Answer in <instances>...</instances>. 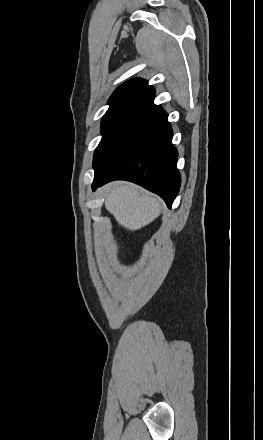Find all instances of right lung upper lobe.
<instances>
[{
  "label": "right lung upper lobe",
  "instance_id": "cb5924a9",
  "mask_svg": "<svg viewBox=\"0 0 263 440\" xmlns=\"http://www.w3.org/2000/svg\"><path fill=\"white\" fill-rule=\"evenodd\" d=\"M154 97V88L146 80L134 78L115 90L108 101V111L118 108L160 107L153 104Z\"/></svg>",
  "mask_w": 263,
  "mask_h": 440
}]
</instances>
